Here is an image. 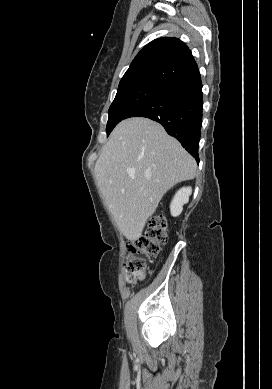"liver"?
<instances>
[{"label":"liver","instance_id":"6515ba94","mask_svg":"<svg viewBox=\"0 0 272 389\" xmlns=\"http://www.w3.org/2000/svg\"><path fill=\"white\" fill-rule=\"evenodd\" d=\"M196 170V161L181 144L160 124L143 117L121 121L95 164L105 202L118 229L131 241L141 237L164 194L195 178Z\"/></svg>","mask_w":272,"mask_h":389}]
</instances>
